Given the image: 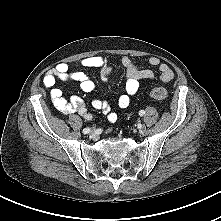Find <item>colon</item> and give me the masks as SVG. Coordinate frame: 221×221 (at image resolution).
<instances>
[{"label": "colon", "instance_id": "5ec220e1", "mask_svg": "<svg viewBox=\"0 0 221 221\" xmlns=\"http://www.w3.org/2000/svg\"><path fill=\"white\" fill-rule=\"evenodd\" d=\"M149 95L155 100L162 101L167 98L168 92L166 88L162 86H155L149 90Z\"/></svg>", "mask_w": 221, "mask_h": 221}]
</instances>
